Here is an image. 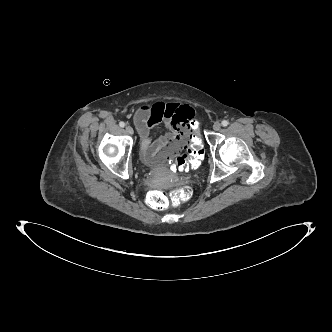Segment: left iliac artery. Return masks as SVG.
Returning <instances> with one entry per match:
<instances>
[{"instance_id": "left-iliac-artery-1", "label": "left iliac artery", "mask_w": 332, "mask_h": 332, "mask_svg": "<svg viewBox=\"0 0 332 332\" xmlns=\"http://www.w3.org/2000/svg\"><path fill=\"white\" fill-rule=\"evenodd\" d=\"M228 124H229V123H228L227 120H223V121H222V126L226 127Z\"/></svg>"}]
</instances>
